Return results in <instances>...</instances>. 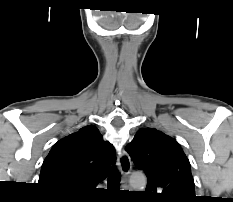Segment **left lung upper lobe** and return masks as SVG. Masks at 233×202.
Returning <instances> with one entry per match:
<instances>
[{
  "label": "left lung upper lobe",
  "instance_id": "obj_1",
  "mask_svg": "<svg viewBox=\"0 0 233 202\" xmlns=\"http://www.w3.org/2000/svg\"><path fill=\"white\" fill-rule=\"evenodd\" d=\"M148 178L146 197L153 202H194L190 163L176 140L156 129H140L126 146Z\"/></svg>",
  "mask_w": 233,
  "mask_h": 202
}]
</instances>
